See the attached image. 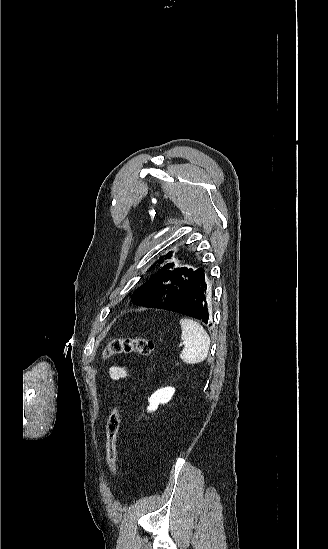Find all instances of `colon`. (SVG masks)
Segmentation results:
<instances>
[{"mask_svg": "<svg viewBox=\"0 0 328 549\" xmlns=\"http://www.w3.org/2000/svg\"><path fill=\"white\" fill-rule=\"evenodd\" d=\"M155 350L152 341L141 337H122L112 339L103 351L104 357L121 354L151 355ZM121 424V411L114 408L106 426V461L113 479L117 477V436Z\"/></svg>", "mask_w": 328, "mask_h": 549, "instance_id": "colon-1", "label": "colon"}]
</instances>
